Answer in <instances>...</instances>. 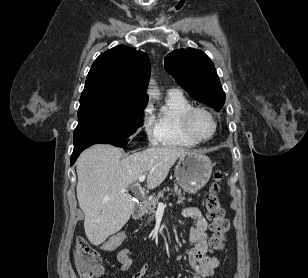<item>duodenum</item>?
<instances>
[{
	"instance_id": "duodenum-1",
	"label": "duodenum",
	"mask_w": 308,
	"mask_h": 278,
	"mask_svg": "<svg viewBox=\"0 0 308 278\" xmlns=\"http://www.w3.org/2000/svg\"><path fill=\"white\" fill-rule=\"evenodd\" d=\"M144 209L145 207L142 203L137 204L133 210V217L136 219L140 218L144 213Z\"/></svg>"
}]
</instances>
